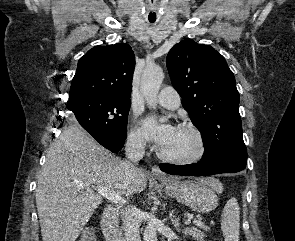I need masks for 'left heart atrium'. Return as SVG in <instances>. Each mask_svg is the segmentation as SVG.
I'll return each instance as SVG.
<instances>
[{
  "mask_svg": "<svg viewBox=\"0 0 295 241\" xmlns=\"http://www.w3.org/2000/svg\"><path fill=\"white\" fill-rule=\"evenodd\" d=\"M148 139L164 148L174 137L176 128L170 124H160L154 117H148L143 122Z\"/></svg>",
  "mask_w": 295,
  "mask_h": 241,
  "instance_id": "1",
  "label": "left heart atrium"
}]
</instances>
